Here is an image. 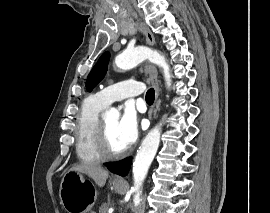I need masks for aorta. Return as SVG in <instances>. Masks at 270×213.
<instances>
[{
  "instance_id": "1",
  "label": "aorta",
  "mask_w": 270,
  "mask_h": 213,
  "mask_svg": "<svg viewBox=\"0 0 270 213\" xmlns=\"http://www.w3.org/2000/svg\"><path fill=\"white\" fill-rule=\"evenodd\" d=\"M155 63L163 69L166 85H171V75L169 65L167 64L164 56L160 55L157 51H153L146 47H136L127 49L115 57V64L122 70H129L144 60ZM107 117L118 118L119 112L115 108H111L107 113ZM161 125H157L143 139L135 160L133 162V179L134 186L132 191L134 194V204H140V195L142 194V185L148 173L149 167L156 155L160 143Z\"/></svg>"
}]
</instances>
